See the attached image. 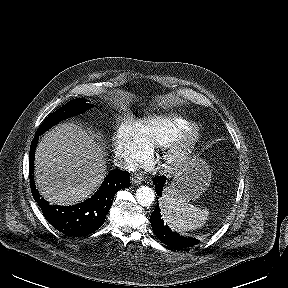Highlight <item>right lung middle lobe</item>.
I'll list each match as a JSON object with an SVG mask.
<instances>
[{"instance_id":"right-lung-middle-lobe-1","label":"right lung middle lobe","mask_w":288,"mask_h":288,"mask_svg":"<svg viewBox=\"0 0 288 288\" xmlns=\"http://www.w3.org/2000/svg\"><path fill=\"white\" fill-rule=\"evenodd\" d=\"M93 105L86 103L84 99L78 98L74 99L68 103H66L64 106L59 108L57 111L52 113L40 126V128L37 130V134L41 135L45 131H47L49 128L57 124L58 122L71 117L73 115H76L78 113H82L88 108H91Z\"/></svg>"}]
</instances>
